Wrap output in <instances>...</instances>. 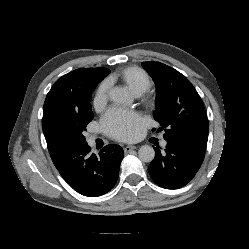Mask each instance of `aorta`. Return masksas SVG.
I'll use <instances>...</instances> for the list:
<instances>
[{
	"mask_svg": "<svg viewBox=\"0 0 249 249\" xmlns=\"http://www.w3.org/2000/svg\"><path fill=\"white\" fill-rule=\"evenodd\" d=\"M111 101L117 104L130 105L132 98L127 89L123 87H114L109 92ZM138 157L142 162H151L155 157L154 148L150 145H143L138 150Z\"/></svg>",
	"mask_w": 249,
	"mask_h": 249,
	"instance_id": "1",
	"label": "aorta"
}]
</instances>
